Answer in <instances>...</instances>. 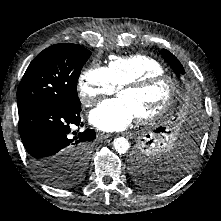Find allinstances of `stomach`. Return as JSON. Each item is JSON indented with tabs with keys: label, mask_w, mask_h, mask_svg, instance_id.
I'll return each mask as SVG.
<instances>
[{
	"label": "stomach",
	"mask_w": 221,
	"mask_h": 221,
	"mask_svg": "<svg viewBox=\"0 0 221 221\" xmlns=\"http://www.w3.org/2000/svg\"><path fill=\"white\" fill-rule=\"evenodd\" d=\"M176 143L175 142H171V146H174Z\"/></svg>",
	"instance_id": "1"
}]
</instances>
